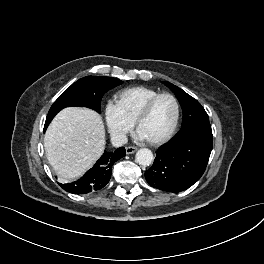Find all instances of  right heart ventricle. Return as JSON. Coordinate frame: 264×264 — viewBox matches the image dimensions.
Returning <instances> with one entry per match:
<instances>
[{
  "instance_id": "obj_1",
  "label": "right heart ventricle",
  "mask_w": 264,
  "mask_h": 264,
  "mask_svg": "<svg viewBox=\"0 0 264 264\" xmlns=\"http://www.w3.org/2000/svg\"><path fill=\"white\" fill-rule=\"evenodd\" d=\"M160 92L146 86L126 88L115 96V104L121 113L133 123L146 102Z\"/></svg>"
}]
</instances>
